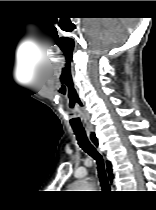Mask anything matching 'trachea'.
<instances>
[{
	"label": "trachea",
	"instance_id": "trachea-1",
	"mask_svg": "<svg viewBox=\"0 0 156 210\" xmlns=\"http://www.w3.org/2000/svg\"><path fill=\"white\" fill-rule=\"evenodd\" d=\"M79 146L97 162L98 177L103 187H109L106 169L104 166V160L102 155L88 140V137L84 131H74Z\"/></svg>",
	"mask_w": 156,
	"mask_h": 210
}]
</instances>
